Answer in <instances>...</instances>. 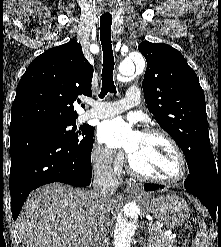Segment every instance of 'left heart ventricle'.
Listing matches in <instances>:
<instances>
[{
    "label": "left heart ventricle",
    "instance_id": "1",
    "mask_svg": "<svg viewBox=\"0 0 221 247\" xmlns=\"http://www.w3.org/2000/svg\"><path fill=\"white\" fill-rule=\"evenodd\" d=\"M134 166L142 173L169 179L180 173V162L173 147L159 136L142 134L130 154Z\"/></svg>",
    "mask_w": 221,
    "mask_h": 247
}]
</instances>
